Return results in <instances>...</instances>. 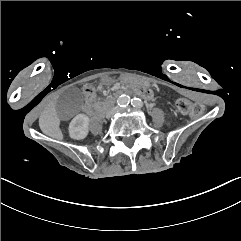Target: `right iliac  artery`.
Instances as JSON below:
<instances>
[{
  "label": "right iliac artery",
  "mask_w": 241,
  "mask_h": 241,
  "mask_svg": "<svg viewBox=\"0 0 241 241\" xmlns=\"http://www.w3.org/2000/svg\"><path fill=\"white\" fill-rule=\"evenodd\" d=\"M130 103V97L129 96H121L117 100V105L120 107H126Z\"/></svg>",
  "instance_id": "1"
}]
</instances>
